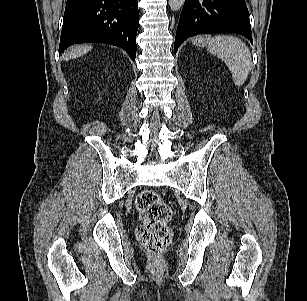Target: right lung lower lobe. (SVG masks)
<instances>
[{
    "mask_svg": "<svg viewBox=\"0 0 307 301\" xmlns=\"http://www.w3.org/2000/svg\"><path fill=\"white\" fill-rule=\"evenodd\" d=\"M138 0H67L59 53L76 43H106L136 57Z\"/></svg>",
    "mask_w": 307,
    "mask_h": 301,
    "instance_id": "98d812e1",
    "label": "right lung lower lobe"
}]
</instances>
